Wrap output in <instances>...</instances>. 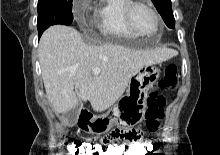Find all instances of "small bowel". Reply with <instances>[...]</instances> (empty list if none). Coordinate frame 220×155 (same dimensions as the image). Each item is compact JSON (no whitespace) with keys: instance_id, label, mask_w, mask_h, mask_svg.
<instances>
[{"instance_id":"c3829d8e","label":"small bowel","mask_w":220,"mask_h":155,"mask_svg":"<svg viewBox=\"0 0 220 155\" xmlns=\"http://www.w3.org/2000/svg\"><path fill=\"white\" fill-rule=\"evenodd\" d=\"M142 126H111V130H106L105 136L99 140H94V145L124 146L115 144L116 141H139L142 138Z\"/></svg>"}]
</instances>
